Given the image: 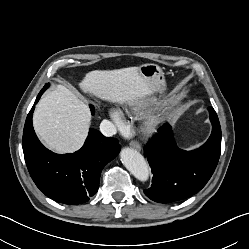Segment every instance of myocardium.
<instances>
[{
  "label": "myocardium",
  "mask_w": 249,
  "mask_h": 249,
  "mask_svg": "<svg viewBox=\"0 0 249 249\" xmlns=\"http://www.w3.org/2000/svg\"><path fill=\"white\" fill-rule=\"evenodd\" d=\"M163 119L160 115H152L144 123L143 131L146 134H153L156 132L162 125Z\"/></svg>",
  "instance_id": "obj_1"
}]
</instances>
